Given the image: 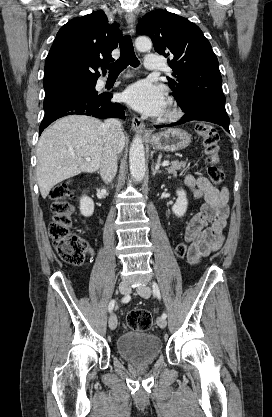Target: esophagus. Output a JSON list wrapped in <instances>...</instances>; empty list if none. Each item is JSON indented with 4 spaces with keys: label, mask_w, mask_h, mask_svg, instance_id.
<instances>
[{
    "label": "esophagus",
    "mask_w": 272,
    "mask_h": 417,
    "mask_svg": "<svg viewBox=\"0 0 272 417\" xmlns=\"http://www.w3.org/2000/svg\"><path fill=\"white\" fill-rule=\"evenodd\" d=\"M125 18H126L128 33L132 35L135 30V15L132 12H128L126 13ZM132 129L136 132H140L145 135L148 134L145 129V125L143 121L137 116H134L132 119Z\"/></svg>",
    "instance_id": "esophagus-1"
}]
</instances>
